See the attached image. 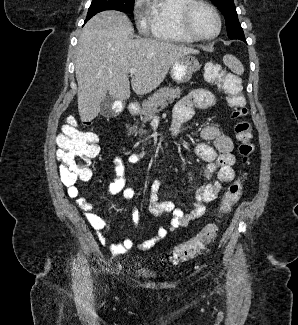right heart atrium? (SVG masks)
<instances>
[{
    "label": "right heart atrium",
    "instance_id": "obj_1",
    "mask_svg": "<svg viewBox=\"0 0 298 325\" xmlns=\"http://www.w3.org/2000/svg\"><path fill=\"white\" fill-rule=\"evenodd\" d=\"M141 9H142V3L140 1L136 2L135 8H134V18L136 20L140 19ZM142 31L143 32H148L149 31V26L148 25H143L142 26Z\"/></svg>",
    "mask_w": 298,
    "mask_h": 325
}]
</instances>
